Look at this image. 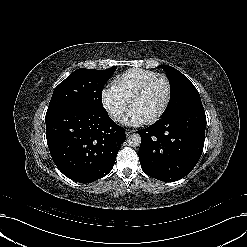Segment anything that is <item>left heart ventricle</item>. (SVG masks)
Returning <instances> with one entry per match:
<instances>
[{"label": "left heart ventricle", "mask_w": 247, "mask_h": 247, "mask_svg": "<svg viewBox=\"0 0 247 247\" xmlns=\"http://www.w3.org/2000/svg\"><path fill=\"white\" fill-rule=\"evenodd\" d=\"M165 91L166 89L163 82L159 81L154 83L137 102L134 111L138 112L145 118L154 114L159 110L163 103Z\"/></svg>", "instance_id": "b2bd125f"}]
</instances>
